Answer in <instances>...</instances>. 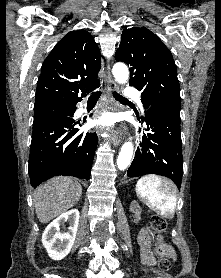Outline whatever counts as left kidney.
<instances>
[{
    "mask_svg": "<svg viewBox=\"0 0 221 278\" xmlns=\"http://www.w3.org/2000/svg\"><path fill=\"white\" fill-rule=\"evenodd\" d=\"M131 209L135 213L136 219L139 220L140 219V214H141V208H140L139 204L136 201H133L131 203Z\"/></svg>",
    "mask_w": 221,
    "mask_h": 278,
    "instance_id": "1",
    "label": "left kidney"
}]
</instances>
